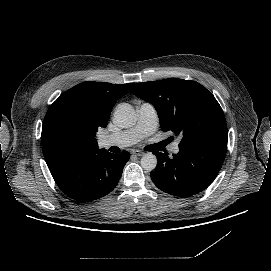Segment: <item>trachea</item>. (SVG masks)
I'll list each match as a JSON object with an SVG mask.
<instances>
[{"mask_svg":"<svg viewBox=\"0 0 271 271\" xmlns=\"http://www.w3.org/2000/svg\"><path fill=\"white\" fill-rule=\"evenodd\" d=\"M166 141H168V143L171 142L169 139H167Z\"/></svg>","mask_w":271,"mask_h":271,"instance_id":"1","label":"trachea"}]
</instances>
